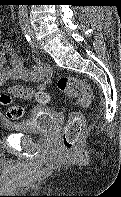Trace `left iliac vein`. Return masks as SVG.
<instances>
[{
	"label": "left iliac vein",
	"mask_w": 121,
	"mask_h": 197,
	"mask_svg": "<svg viewBox=\"0 0 121 197\" xmlns=\"http://www.w3.org/2000/svg\"><path fill=\"white\" fill-rule=\"evenodd\" d=\"M30 34H31V37H32L33 45H34L35 47H38V41H37V39H36L34 29L31 28V27H30Z\"/></svg>",
	"instance_id": "1"
}]
</instances>
